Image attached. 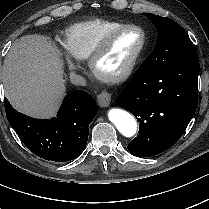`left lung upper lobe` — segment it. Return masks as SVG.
<instances>
[{"mask_svg": "<svg viewBox=\"0 0 209 209\" xmlns=\"http://www.w3.org/2000/svg\"><path fill=\"white\" fill-rule=\"evenodd\" d=\"M146 16L154 23L158 36L153 52L140 68L160 71L197 56L194 44L174 20L151 13Z\"/></svg>", "mask_w": 209, "mask_h": 209, "instance_id": "obj_1", "label": "left lung upper lobe"}]
</instances>
